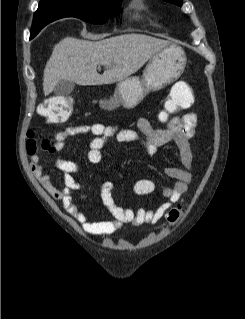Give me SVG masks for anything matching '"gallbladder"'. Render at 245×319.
<instances>
[{"instance_id": "obj_1", "label": "gallbladder", "mask_w": 245, "mask_h": 319, "mask_svg": "<svg viewBox=\"0 0 245 319\" xmlns=\"http://www.w3.org/2000/svg\"><path fill=\"white\" fill-rule=\"evenodd\" d=\"M75 87L74 82L70 80H60L54 87V93L58 96H67Z\"/></svg>"}]
</instances>
